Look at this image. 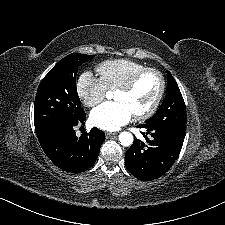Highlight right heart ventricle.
Masks as SVG:
<instances>
[{
    "instance_id": "obj_1",
    "label": "right heart ventricle",
    "mask_w": 225,
    "mask_h": 225,
    "mask_svg": "<svg viewBox=\"0 0 225 225\" xmlns=\"http://www.w3.org/2000/svg\"><path fill=\"white\" fill-rule=\"evenodd\" d=\"M143 68H145L143 64L128 59L107 60L97 67L108 90H116L124 85L136 72Z\"/></svg>"
}]
</instances>
